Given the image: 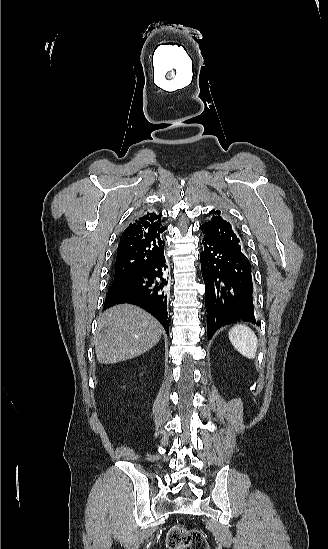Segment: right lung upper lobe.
<instances>
[{
	"mask_svg": "<svg viewBox=\"0 0 328 549\" xmlns=\"http://www.w3.org/2000/svg\"><path fill=\"white\" fill-rule=\"evenodd\" d=\"M162 214L140 213L120 237L116 252L115 277H130L140 272L164 251Z\"/></svg>",
	"mask_w": 328,
	"mask_h": 549,
	"instance_id": "1",
	"label": "right lung upper lobe"
}]
</instances>
